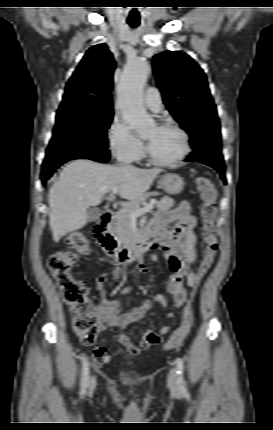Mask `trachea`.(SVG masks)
Wrapping results in <instances>:
<instances>
[{
	"mask_svg": "<svg viewBox=\"0 0 273 430\" xmlns=\"http://www.w3.org/2000/svg\"><path fill=\"white\" fill-rule=\"evenodd\" d=\"M130 27L136 28L139 24L129 23Z\"/></svg>",
	"mask_w": 273,
	"mask_h": 430,
	"instance_id": "3493384b",
	"label": "trachea"
}]
</instances>
